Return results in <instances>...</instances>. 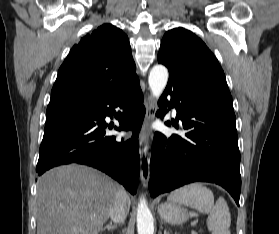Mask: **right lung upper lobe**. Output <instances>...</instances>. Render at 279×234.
<instances>
[{"mask_svg": "<svg viewBox=\"0 0 279 234\" xmlns=\"http://www.w3.org/2000/svg\"><path fill=\"white\" fill-rule=\"evenodd\" d=\"M137 78L127 35L112 24L101 25L70 50L59 68L48 108L90 105Z\"/></svg>", "mask_w": 279, "mask_h": 234, "instance_id": "right-lung-upper-lobe-1", "label": "right lung upper lobe"}]
</instances>
